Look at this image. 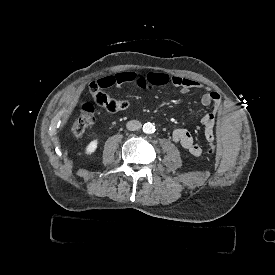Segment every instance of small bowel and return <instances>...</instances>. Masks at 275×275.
Listing matches in <instances>:
<instances>
[{
  "label": "small bowel",
  "mask_w": 275,
  "mask_h": 275,
  "mask_svg": "<svg viewBox=\"0 0 275 275\" xmlns=\"http://www.w3.org/2000/svg\"><path fill=\"white\" fill-rule=\"evenodd\" d=\"M106 87L115 85L117 87L122 86H136L139 88H156L166 85H173L180 88L182 93H188L195 89H204L205 92L200 98V102L203 106H211V110L202 118L201 123L204 127V134L206 140L209 142H215V122L217 114L222 107L221 97L218 92L205 87L198 81L184 78L178 75H171L163 71H151L145 75H140L132 71H123L114 76L105 78ZM172 139L174 142L180 144L191 155L199 157L202 155V148L195 143L191 133L185 129L178 128L172 133Z\"/></svg>",
  "instance_id": "small-bowel-1"
}]
</instances>
